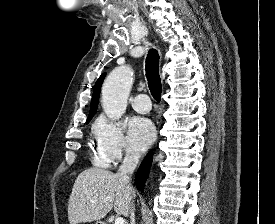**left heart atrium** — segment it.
I'll return each mask as SVG.
<instances>
[{"label":"left heart atrium","instance_id":"39dd6f15","mask_svg":"<svg viewBox=\"0 0 275 224\" xmlns=\"http://www.w3.org/2000/svg\"><path fill=\"white\" fill-rule=\"evenodd\" d=\"M155 129L150 120L135 117L131 120L128 129V139L133 149L145 150L154 140Z\"/></svg>","mask_w":275,"mask_h":224}]
</instances>
